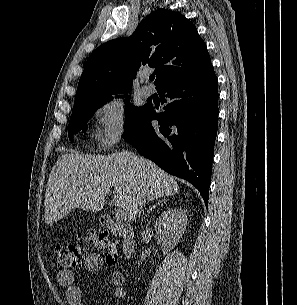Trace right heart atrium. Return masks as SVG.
<instances>
[{"label": "right heart atrium", "instance_id": "right-heart-atrium-1", "mask_svg": "<svg viewBox=\"0 0 297 305\" xmlns=\"http://www.w3.org/2000/svg\"><path fill=\"white\" fill-rule=\"evenodd\" d=\"M96 121L97 138L103 148H112L120 142L128 130L127 107L122 95H105L97 105Z\"/></svg>", "mask_w": 297, "mask_h": 305}]
</instances>
